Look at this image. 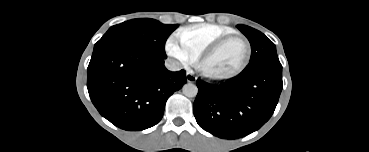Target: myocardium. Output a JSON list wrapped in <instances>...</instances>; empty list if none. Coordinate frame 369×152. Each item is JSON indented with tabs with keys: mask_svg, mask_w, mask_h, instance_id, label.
Segmentation results:
<instances>
[{
	"mask_svg": "<svg viewBox=\"0 0 369 152\" xmlns=\"http://www.w3.org/2000/svg\"><path fill=\"white\" fill-rule=\"evenodd\" d=\"M233 39H240L244 42L245 46H246V55L245 58L243 60V62L241 63V65L234 70L231 73L228 74H224V75H219V74H214L211 73L209 71H207L204 67L205 62L211 57L213 56L222 46H224L228 41L233 40ZM251 53H252V48H251V44L249 42V40L242 34L239 33H233V34H229L226 36H223L221 38H219L218 40H216L215 42H213L211 45H209L199 56L198 59V63H197V69L200 71V73L212 80V81H227V80H231L235 77H237L238 75H240L248 66L250 59H251Z\"/></svg>",
	"mask_w": 369,
	"mask_h": 152,
	"instance_id": "1",
	"label": "myocardium"
}]
</instances>
